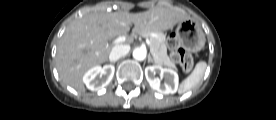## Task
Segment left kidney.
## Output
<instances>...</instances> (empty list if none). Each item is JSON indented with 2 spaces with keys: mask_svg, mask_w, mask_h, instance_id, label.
<instances>
[{
  "mask_svg": "<svg viewBox=\"0 0 276 120\" xmlns=\"http://www.w3.org/2000/svg\"><path fill=\"white\" fill-rule=\"evenodd\" d=\"M159 74L161 78H164L163 83L155 77ZM145 76L150 87L162 94H173L177 90L178 75L174 70L162 68L159 65L147 66L145 68Z\"/></svg>",
  "mask_w": 276,
  "mask_h": 120,
  "instance_id": "5707ae66",
  "label": "left kidney"
}]
</instances>
